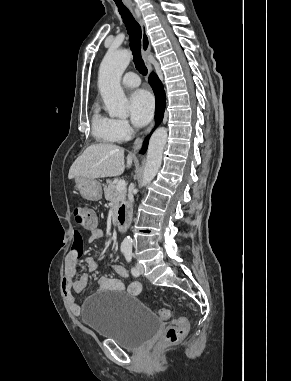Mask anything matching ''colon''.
Segmentation results:
<instances>
[{
	"mask_svg": "<svg viewBox=\"0 0 291 381\" xmlns=\"http://www.w3.org/2000/svg\"><path fill=\"white\" fill-rule=\"evenodd\" d=\"M75 222L84 230H93L96 226L95 212L87 206H76L73 209ZM159 317L167 320L171 317V311L168 308L159 310ZM188 329V321L184 317H179L173 321V324L165 330L161 345L170 346L178 344L185 336Z\"/></svg>",
	"mask_w": 291,
	"mask_h": 381,
	"instance_id": "obj_1",
	"label": "colon"
}]
</instances>
